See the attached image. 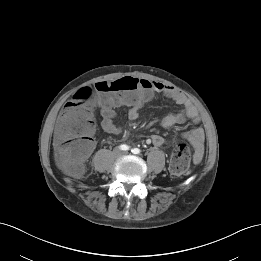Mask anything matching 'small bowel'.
I'll list each match as a JSON object with an SVG mask.
<instances>
[{"label":"small bowel","mask_w":261,"mask_h":261,"mask_svg":"<svg viewBox=\"0 0 261 261\" xmlns=\"http://www.w3.org/2000/svg\"><path fill=\"white\" fill-rule=\"evenodd\" d=\"M151 92L160 93L165 97L171 99L177 105L182 106V109L166 114L162 120L161 124L166 128H172L174 125L183 123L186 121H191L195 124V127L190 131H185L181 133V137L190 142L194 149V162H201L204 155V142H205V132L204 129L200 126L201 118L197 108L186 98V96L179 91L178 89L165 85L162 83H155ZM151 98V94L148 97L140 96L135 101H123V100H105L101 104V127L102 129L109 134H119L122 130L121 126L116 122L117 114L115 108L121 106H127L128 119L131 121L138 120L141 115V109L147 101ZM85 108L79 107L78 103L74 100L69 101L61 115L56 128L57 139L61 141L64 137L68 135V131L65 129V122L68 114L72 111L81 113ZM95 132V123L91 112L88 110L87 121H86V133L89 137L93 136ZM91 139V138H90ZM150 142L155 146H161L166 143V140L157 134L150 136ZM95 143L91 139L89 149L85 155V158L88 157L94 150Z\"/></svg>","instance_id":"1"}]
</instances>
